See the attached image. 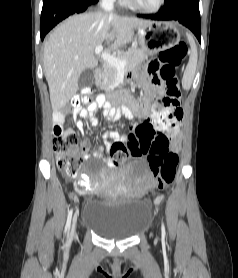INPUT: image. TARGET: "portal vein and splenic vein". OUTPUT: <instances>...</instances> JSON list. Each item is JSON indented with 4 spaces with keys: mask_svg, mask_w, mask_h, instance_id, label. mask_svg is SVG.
Segmentation results:
<instances>
[{
    "mask_svg": "<svg viewBox=\"0 0 238 278\" xmlns=\"http://www.w3.org/2000/svg\"><path fill=\"white\" fill-rule=\"evenodd\" d=\"M95 53L101 55V58L111 66L115 67L117 70H123L126 66V61L120 60L117 57L111 55L110 53L103 52V46L99 45L95 48Z\"/></svg>",
    "mask_w": 238,
    "mask_h": 278,
    "instance_id": "obj_1",
    "label": "portal vein and splenic vein"
}]
</instances>
